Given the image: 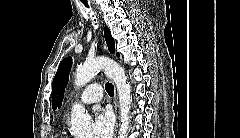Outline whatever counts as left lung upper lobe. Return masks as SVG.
<instances>
[{"label":"left lung upper lobe","instance_id":"left-lung-upper-lobe-1","mask_svg":"<svg viewBox=\"0 0 240 138\" xmlns=\"http://www.w3.org/2000/svg\"><path fill=\"white\" fill-rule=\"evenodd\" d=\"M104 36L108 45V50L111 53L115 52V42L111 36V32L108 28H104ZM119 57V53H117ZM72 67V58H65L59 65L56 75L52 83V107L53 110L61 107V103L64 97V91L69 79V73Z\"/></svg>","mask_w":240,"mask_h":138}]
</instances>
